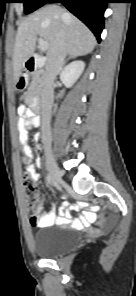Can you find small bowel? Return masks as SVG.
Returning a JSON list of instances; mask_svg holds the SVG:
<instances>
[{
  "label": "small bowel",
  "instance_id": "obj_1",
  "mask_svg": "<svg viewBox=\"0 0 136 296\" xmlns=\"http://www.w3.org/2000/svg\"><path fill=\"white\" fill-rule=\"evenodd\" d=\"M19 113L21 117L18 120V127H19V138L20 142L23 146L24 153L27 156V164L29 165V170L32 175V178L35 181L40 180L39 173L36 172L33 164H32V150L28 144L29 142V132L31 130V125H34L35 117H33V113L26 109L25 107H20ZM36 138H39V135H36ZM94 217L92 212H85L82 217V222L86 223L90 221ZM33 226L36 227H49L52 225H68L72 224L73 220L70 216V212L68 209H63L60 211V214L57 216L54 213H47L43 209H40L37 213L36 221L33 222L31 220Z\"/></svg>",
  "mask_w": 136,
  "mask_h": 296
}]
</instances>
